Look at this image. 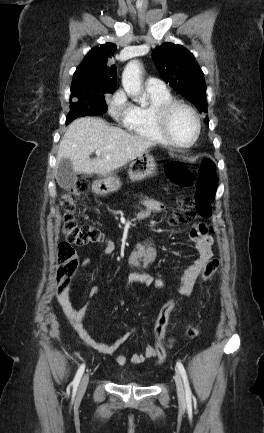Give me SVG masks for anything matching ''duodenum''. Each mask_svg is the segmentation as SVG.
<instances>
[{"instance_id":"1","label":"duodenum","mask_w":264,"mask_h":433,"mask_svg":"<svg viewBox=\"0 0 264 433\" xmlns=\"http://www.w3.org/2000/svg\"><path fill=\"white\" fill-rule=\"evenodd\" d=\"M151 249L145 248L144 250H140L136 254V258L142 260L145 263H149L152 260Z\"/></svg>"}]
</instances>
